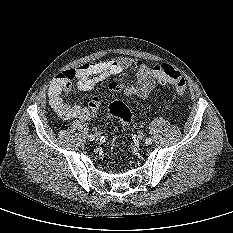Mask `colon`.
<instances>
[{
  "label": "colon",
  "mask_w": 233,
  "mask_h": 233,
  "mask_svg": "<svg viewBox=\"0 0 233 233\" xmlns=\"http://www.w3.org/2000/svg\"><path fill=\"white\" fill-rule=\"evenodd\" d=\"M155 76L162 83H171L178 94H184L187 90V84L181 73L169 64H160L154 66ZM70 81L65 85L68 88ZM109 113L119 118L125 125L132 123L133 114L129 108L121 101H114L109 106Z\"/></svg>",
  "instance_id": "1"
}]
</instances>
